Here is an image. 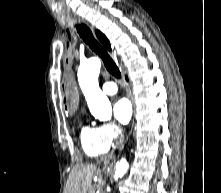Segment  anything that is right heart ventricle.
Masks as SVG:
<instances>
[{"label":"right heart ventricle","instance_id":"e07e8e85","mask_svg":"<svg viewBox=\"0 0 221 193\" xmlns=\"http://www.w3.org/2000/svg\"><path fill=\"white\" fill-rule=\"evenodd\" d=\"M80 142L83 151L89 157H98L112 149V144L107 143L101 136L99 126L84 125L80 133Z\"/></svg>","mask_w":221,"mask_h":193}]
</instances>
